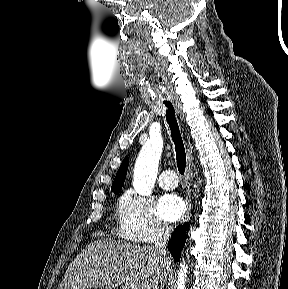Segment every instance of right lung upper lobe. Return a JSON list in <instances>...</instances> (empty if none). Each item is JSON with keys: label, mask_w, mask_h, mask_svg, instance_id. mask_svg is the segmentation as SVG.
Wrapping results in <instances>:
<instances>
[{"label": "right lung upper lobe", "mask_w": 288, "mask_h": 289, "mask_svg": "<svg viewBox=\"0 0 288 289\" xmlns=\"http://www.w3.org/2000/svg\"><path fill=\"white\" fill-rule=\"evenodd\" d=\"M128 164H129V159H128V157H125L122 164L119 167V170H118L116 177L114 179V182L112 184V187H111L112 192L121 190L123 183H124V180H125V177H126Z\"/></svg>", "instance_id": "1"}]
</instances>
